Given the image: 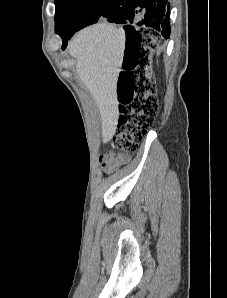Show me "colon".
<instances>
[{
  "instance_id": "5ec220e1",
  "label": "colon",
  "mask_w": 227,
  "mask_h": 298,
  "mask_svg": "<svg viewBox=\"0 0 227 298\" xmlns=\"http://www.w3.org/2000/svg\"><path fill=\"white\" fill-rule=\"evenodd\" d=\"M154 47L153 40H144L139 34L124 59L117 81L119 118L112 138L115 150L135 152L157 114L158 99L150 68Z\"/></svg>"
}]
</instances>
